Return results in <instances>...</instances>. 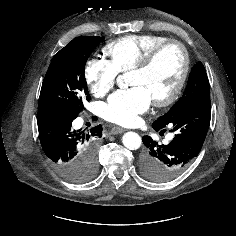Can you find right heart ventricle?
I'll return each instance as SVG.
<instances>
[{"label":"right heart ventricle","instance_id":"obj_1","mask_svg":"<svg viewBox=\"0 0 236 236\" xmlns=\"http://www.w3.org/2000/svg\"><path fill=\"white\" fill-rule=\"evenodd\" d=\"M170 38L160 34L127 35L109 42L103 49L118 72L131 70L156 45Z\"/></svg>","mask_w":236,"mask_h":236}]
</instances>
